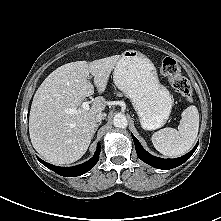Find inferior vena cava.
<instances>
[{"label": "inferior vena cava", "instance_id": "602c4592", "mask_svg": "<svg viewBox=\"0 0 221 221\" xmlns=\"http://www.w3.org/2000/svg\"><path fill=\"white\" fill-rule=\"evenodd\" d=\"M106 117V113H99L95 116V121L96 122H101L102 120H104Z\"/></svg>", "mask_w": 221, "mask_h": 221}]
</instances>
